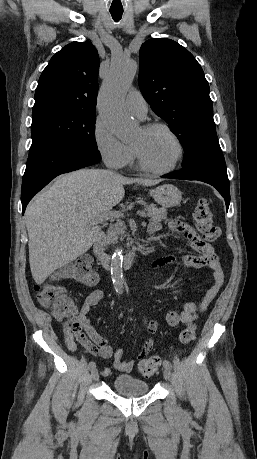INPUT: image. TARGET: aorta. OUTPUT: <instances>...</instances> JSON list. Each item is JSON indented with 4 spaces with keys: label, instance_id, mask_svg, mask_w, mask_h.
Returning <instances> with one entry per match:
<instances>
[{
    "label": "aorta",
    "instance_id": "1",
    "mask_svg": "<svg viewBox=\"0 0 257 459\" xmlns=\"http://www.w3.org/2000/svg\"><path fill=\"white\" fill-rule=\"evenodd\" d=\"M136 72L137 63L134 60L120 61L112 66L100 89L99 109L102 120L123 142L132 141L137 132V123L122 107ZM110 272L116 293L122 294L124 289L123 249L119 247L112 255Z\"/></svg>",
    "mask_w": 257,
    "mask_h": 459
}]
</instances>
